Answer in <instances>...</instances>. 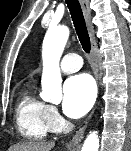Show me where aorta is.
<instances>
[{"label":"aorta","instance_id":"1","mask_svg":"<svg viewBox=\"0 0 131 151\" xmlns=\"http://www.w3.org/2000/svg\"><path fill=\"white\" fill-rule=\"evenodd\" d=\"M69 37L66 26L48 29L43 43L42 97L47 101H56L61 96L60 58ZM100 141L97 131H92L86 137L82 151H98Z\"/></svg>","mask_w":131,"mask_h":151}]
</instances>
